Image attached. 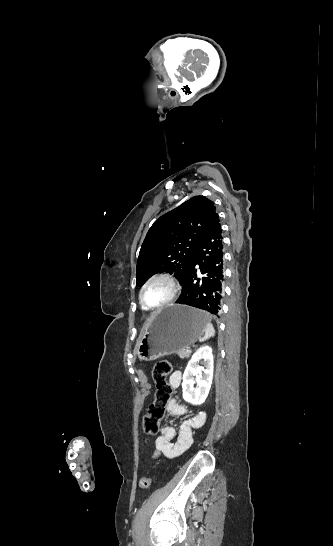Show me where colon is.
I'll return each instance as SVG.
<instances>
[{
    "instance_id": "obj_1",
    "label": "colon",
    "mask_w": 333,
    "mask_h": 546,
    "mask_svg": "<svg viewBox=\"0 0 333 546\" xmlns=\"http://www.w3.org/2000/svg\"><path fill=\"white\" fill-rule=\"evenodd\" d=\"M171 371L172 364L168 360L158 361L152 369L151 377L156 385L155 400L143 418V430L148 437L155 436L160 431L166 406L172 398L173 387L167 380ZM151 485L150 477L141 479L139 483L141 489H149Z\"/></svg>"
}]
</instances>
